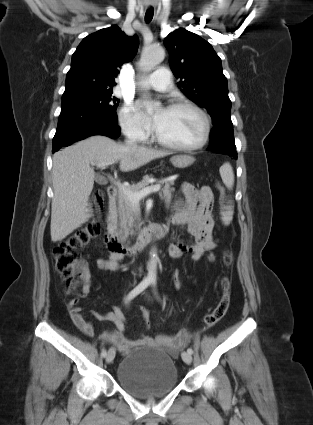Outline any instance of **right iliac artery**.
I'll return each mask as SVG.
<instances>
[{
	"label": "right iliac artery",
	"mask_w": 313,
	"mask_h": 425,
	"mask_svg": "<svg viewBox=\"0 0 313 425\" xmlns=\"http://www.w3.org/2000/svg\"><path fill=\"white\" fill-rule=\"evenodd\" d=\"M151 284L150 279H143L125 298V302L128 303L131 301L134 297H136L138 294H140L143 290H145L149 285ZM106 350L103 349L101 352V356H106Z\"/></svg>",
	"instance_id": "obj_1"
}]
</instances>
